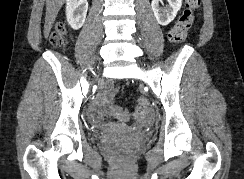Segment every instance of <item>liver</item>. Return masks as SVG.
I'll return each mask as SVG.
<instances>
[{"label": "liver", "mask_w": 244, "mask_h": 179, "mask_svg": "<svg viewBox=\"0 0 244 179\" xmlns=\"http://www.w3.org/2000/svg\"><path fill=\"white\" fill-rule=\"evenodd\" d=\"M65 0H46V16L44 24V38H48L56 16Z\"/></svg>", "instance_id": "liver-1"}]
</instances>
